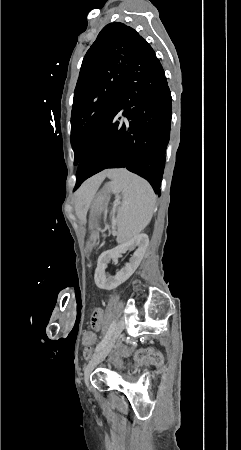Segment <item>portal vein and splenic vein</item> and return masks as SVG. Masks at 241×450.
Wrapping results in <instances>:
<instances>
[{
    "instance_id": "18ae733b",
    "label": "portal vein and splenic vein",
    "mask_w": 241,
    "mask_h": 450,
    "mask_svg": "<svg viewBox=\"0 0 241 450\" xmlns=\"http://www.w3.org/2000/svg\"><path fill=\"white\" fill-rule=\"evenodd\" d=\"M114 207H115L116 209H119V208H120V205H119V204H116Z\"/></svg>"
}]
</instances>
